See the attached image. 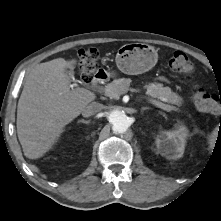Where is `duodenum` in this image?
<instances>
[{
  "label": "duodenum",
  "instance_id": "duodenum-1",
  "mask_svg": "<svg viewBox=\"0 0 221 221\" xmlns=\"http://www.w3.org/2000/svg\"><path fill=\"white\" fill-rule=\"evenodd\" d=\"M108 79V75L104 70H98L93 77L94 85L97 86L100 83L106 81Z\"/></svg>",
  "mask_w": 221,
  "mask_h": 221
}]
</instances>
